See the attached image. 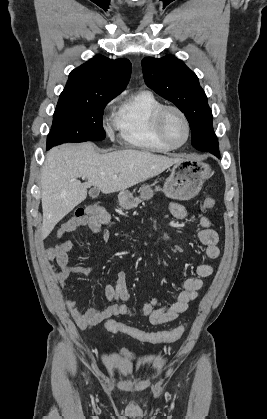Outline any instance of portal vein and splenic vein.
Returning <instances> with one entry per match:
<instances>
[{
	"label": "portal vein and splenic vein",
	"instance_id": "portal-vein-and-splenic-vein-1",
	"mask_svg": "<svg viewBox=\"0 0 267 419\" xmlns=\"http://www.w3.org/2000/svg\"><path fill=\"white\" fill-rule=\"evenodd\" d=\"M113 177H114V178H116L117 176H116V175H114Z\"/></svg>",
	"mask_w": 267,
	"mask_h": 419
}]
</instances>
